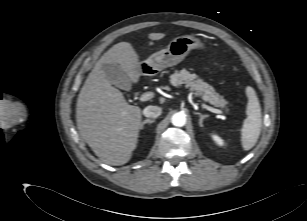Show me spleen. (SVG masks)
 <instances>
[{"label":"spleen","instance_id":"obj_1","mask_svg":"<svg viewBox=\"0 0 307 221\" xmlns=\"http://www.w3.org/2000/svg\"><path fill=\"white\" fill-rule=\"evenodd\" d=\"M248 103L246 108L247 117L241 128V144L245 151L250 150L255 146L261 133L262 115L261 107L252 87L246 88Z\"/></svg>","mask_w":307,"mask_h":221}]
</instances>
